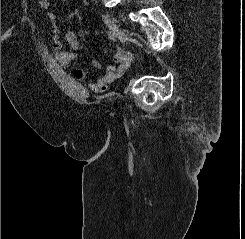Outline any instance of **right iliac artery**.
Listing matches in <instances>:
<instances>
[{"label": "right iliac artery", "mask_w": 245, "mask_h": 239, "mask_svg": "<svg viewBox=\"0 0 245 239\" xmlns=\"http://www.w3.org/2000/svg\"><path fill=\"white\" fill-rule=\"evenodd\" d=\"M107 35H108V37L111 39V40H115V35H114V33L112 32V31H107Z\"/></svg>", "instance_id": "obj_1"}]
</instances>
